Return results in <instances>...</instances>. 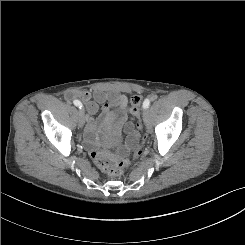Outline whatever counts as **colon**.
<instances>
[{
	"label": "colon",
	"mask_w": 245,
	"mask_h": 245,
	"mask_svg": "<svg viewBox=\"0 0 245 245\" xmlns=\"http://www.w3.org/2000/svg\"><path fill=\"white\" fill-rule=\"evenodd\" d=\"M143 97L141 95H134L131 97V114L138 119L136 122V129L139 136L141 137V143L137 144L132 149L131 158H121L112 160L103 156L98 150H92L90 155L93 161L106 173L110 176H121L124 172V169L130 166L135 160H137L142 155V144L145 137L141 134L142 124L140 122V105L142 103Z\"/></svg>",
	"instance_id": "colon-1"
}]
</instances>
